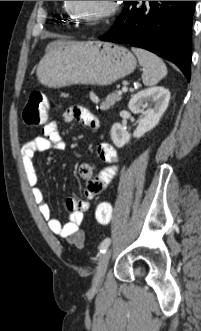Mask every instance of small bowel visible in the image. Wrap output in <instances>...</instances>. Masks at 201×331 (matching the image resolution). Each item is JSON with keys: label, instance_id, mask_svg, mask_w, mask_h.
I'll return each mask as SVG.
<instances>
[{"label": "small bowel", "instance_id": "small-bowel-1", "mask_svg": "<svg viewBox=\"0 0 201 331\" xmlns=\"http://www.w3.org/2000/svg\"><path fill=\"white\" fill-rule=\"evenodd\" d=\"M62 121L66 123L77 121L92 132H96L100 128L98 118L87 108L78 105L66 108L62 115ZM59 124L60 121L57 119L49 120L43 129V135L30 139L22 146L21 156L25 176L30 185L33 198L50 231L65 239L68 243L75 245L77 240H84V234L80 226L85 213L89 209L88 200L101 194L106 185L114 178L118 171V155L111 144L103 142L97 146V155L103 162L97 173H94V169L90 164L83 163L79 166V176L86 181L83 192L85 200L77 197L66 199L65 205L69 212V219L67 223L62 224L52 217L44 192L38 186V174L34 164V157L37 153L65 149V141L59 133Z\"/></svg>", "mask_w": 201, "mask_h": 331}]
</instances>
